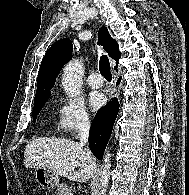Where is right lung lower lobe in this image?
Listing matches in <instances>:
<instances>
[{"label": "right lung lower lobe", "mask_w": 189, "mask_h": 195, "mask_svg": "<svg viewBox=\"0 0 189 195\" xmlns=\"http://www.w3.org/2000/svg\"><path fill=\"white\" fill-rule=\"evenodd\" d=\"M120 81L121 78L118 79L117 84ZM118 111L119 102L116 98H113L105 107L97 111L92 121L89 133V146L95 157L99 160H102Z\"/></svg>", "instance_id": "obj_1"}]
</instances>
